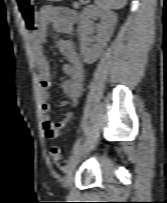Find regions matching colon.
I'll list each match as a JSON object with an SVG mask.
<instances>
[{
	"instance_id": "5ec220e1",
	"label": "colon",
	"mask_w": 167,
	"mask_h": 203,
	"mask_svg": "<svg viewBox=\"0 0 167 203\" xmlns=\"http://www.w3.org/2000/svg\"><path fill=\"white\" fill-rule=\"evenodd\" d=\"M20 16L27 29H33L35 27V15H34V3L35 0H16ZM51 158L55 162H60L62 159V153L59 146H53L50 149Z\"/></svg>"
}]
</instances>
